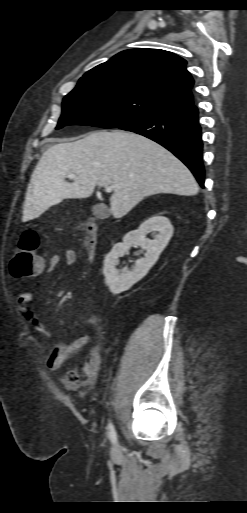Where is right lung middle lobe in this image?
Returning a JSON list of instances; mask_svg holds the SVG:
<instances>
[{
	"label": "right lung middle lobe",
	"instance_id": "1",
	"mask_svg": "<svg viewBox=\"0 0 247 513\" xmlns=\"http://www.w3.org/2000/svg\"><path fill=\"white\" fill-rule=\"evenodd\" d=\"M168 108L137 92L118 88L79 89L67 94L56 129L66 125L119 128Z\"/></svg>",
	"mask_w": 247,
	"mask_h": 513
}]
</instances>
